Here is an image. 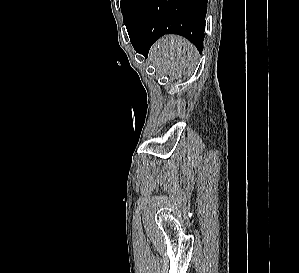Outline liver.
<instances>
[{"instance_id":"liver-1","label":"liver","mask_w":299,"mask_h":273,"mask_svg":"<svg viewBox=\"0 0 299 273\" xmlns=\"http://www.w3.org/2000/svg\"><path fill=\"white\" fill-rule=\"evenodd\" d=\"M149 57L157 70L163 71L170 79H177L194 71L198 52L184 38L169 35L152 46Z\"/></svg>"}]
</instances>
